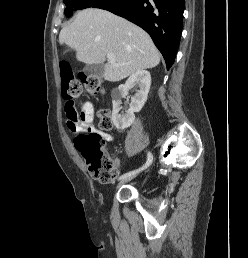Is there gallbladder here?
I'll return each mask as SVG.
<instances>
[{
	"label": "gallbladder",
	"instance_id": "gallbladder-1",
	"mask_svg": "<svg viewBox=\"0 0 248 258\" xmlns=\"http://www.w3.org/2000/svg\"><path fill=\"white\" fill-rule=\"evenodd\" d=\"M84 73L89 76L103 77L104 65L103 64H87L84 69Z\"/></svg>",
	"mask_w": 248,
	"mask_h": 258
}]
</instances>
